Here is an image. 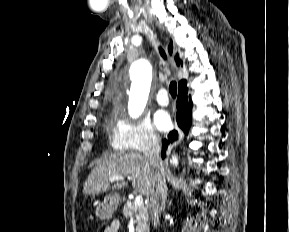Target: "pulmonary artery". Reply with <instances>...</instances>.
<instances>
[{
  "label": "pulmonary artery",
  "instance_id": "pulmonary-artery-1",
  "mask_svg": "<svg viewBox=\"0 0 289 232\" xmlns=\"http://www.w3.org/2000/svg\"><path fill=\"white\" fill-rule=\"evenodd\" d=\"M156 101L161 106H167L169 104V98L165 89H161L158 91L156 95Z\"/></svg>",
  "mask_w": 289,
  "mask_h": 232
}]
</instances>
